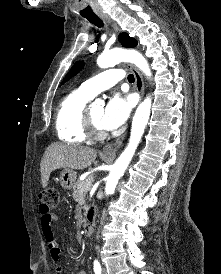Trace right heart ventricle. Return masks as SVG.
I'll return each instance as SVG.
<instances>
[{"mask_svg": "<svg viewBox=\"0 0 221 274\" xmlns=\"http://www.w3.org/2000/svg\"><path fill=\"white\" fill-rule=\"evenodd\" d=\"M92 97L78 88L61 100L55 117L56 133L60 140L69 144H81L89 138L85 111Z\"/></svg>", "mask_w": 221, "mask_h": 274, "instance_id": "right-heart-ventricle-1", "label": "right heart ventricle"}]
</instances>
